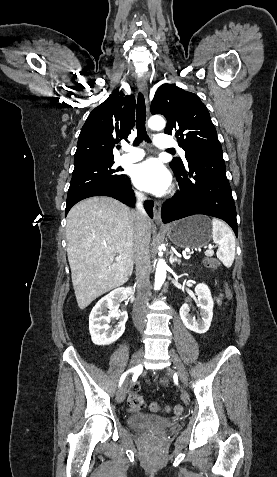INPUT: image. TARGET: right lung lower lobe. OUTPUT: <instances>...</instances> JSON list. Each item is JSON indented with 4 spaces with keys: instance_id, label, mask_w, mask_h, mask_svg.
Returning <instances> with one entry per match:
<instances>
[{
    "instance_id": "obj_1",
    "label": "right lung lower lobe",
    "mask_w": 277,
    "mask_h": 477,
    "mask_svg": "<svg viewBox=\"0 0 277 477\" xmlns=\"http://www.w3.org/2000/svg\"><path fill=\"white\" fill-rule=\"evenodd\" d=\"M93 196H109L128 206H135V196L133 190L131 189V183L128 178V181L122 185L100 184L80 191L71 198L67 199L65 214L67 215L71 207L77 202ZM144 207L148 215L153 218V201H145Z\"/></svg>"
}]
</instances>
